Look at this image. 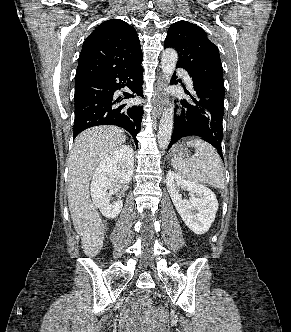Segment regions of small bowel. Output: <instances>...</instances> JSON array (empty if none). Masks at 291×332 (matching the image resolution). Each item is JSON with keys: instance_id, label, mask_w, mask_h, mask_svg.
<instances>
[{"instance_id": "c3829d8e", "label": "small bowel", "mask_w": 291, "mask_h": 332, "mask_svg": "<svg viewBox=\"0 0 291 332\" xmlns=\"http://www.w3.org/2000/svg\"><path fill=\"white\" fill-rule=\"evenodd\" d=\"M142 302V300H141ZM166 319V313H163L162 310H146L145 316L141 319V323L145 327H155L160 322H163ZM132 323L130 321L126 322V326L130 327Z\"/></svg>"}]
</instances>
